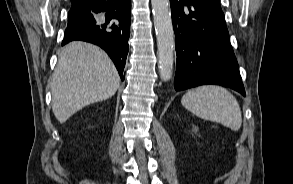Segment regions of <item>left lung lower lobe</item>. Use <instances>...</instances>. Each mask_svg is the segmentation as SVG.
Returning <instances> with one entry per match:
<instances>
[{
    "instance_id": "obj_1",
    "label": "left lung lower lobe",
    "mask_w": 293,
    "mask_h": 184,
    "mask_svg": "<svg viewBox=\"0 0 293 184\" xmlns=\"http://www.w3.org/2000/svg\"><path fill=\"white\" fill-rule=\"evenodd\" d=\"M177 66L175 90L204 84L245 89L219 0H170Z\"/></svg>"
}]
</instances>
